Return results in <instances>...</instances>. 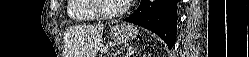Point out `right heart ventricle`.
Instances as JSON below:
<instances>
[{"label":"right heart ventricle","instance_id":"obj_1","mask_svg":"<svg viewBox=\"0 0 249 57\" xmlns=\"http://www.w3.org/2000/svg\"><path fill=\"white\" fill-rule=\"evenodd\" d=\"M66 13L73 21H92L99 17L89 8L90 0H68Z\"/></svg>","mask_w":249,"mask_h":57}]
</instances>
